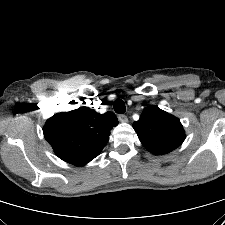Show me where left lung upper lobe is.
Wrapping results in <instances>:
<instances>
[{
  "label": "left lung upper lobe",
  "instance_id": "left-lung-upper-lobe-1",
  "mask_svg": "<svg viewBox=\"0 0 225 225\" xmlns=\"http://www.w3.org/2000/svg\"><path fill=\"white\" fill-rule=\"evenodd\" d=\"M133 128L145 148L156 155L171 152L185 139L180 120L157 106L144 109Z\"/></svg>",
  "mask_w": 225,
  "mask_h": 225
}]
</instances>
